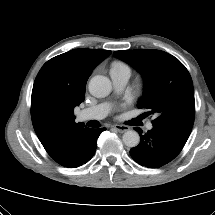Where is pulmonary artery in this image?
Instances as JSON below:
<instances>
[{
    "label": "pulmonary artery",
    "mask_w": 215,
    "mask_h": 215,
    "mask_svg": "<svg viewBox=\"0 0 215 215\" xmlns=\"http://www.w3.org/2000/svg\"><path fill=\"white\" fill-rule=\"evenodd\" d=\"M111 80L114 86V89L117 92L122 91L128 83L130 72L126 70L121 71H111L110 72ZM110 111L109 103H101L80 111L78 119L81 121L87 120H100L103 119ZM153 128L152 123L147 124V129L151 130Z\"/></svg>",
    "instance_id": "obj_1"
}]
</instances>
